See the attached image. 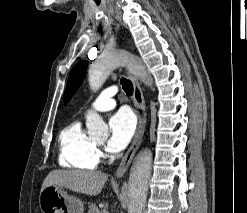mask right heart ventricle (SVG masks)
<instances>
[{"mask_svg":"<svg viewBox=\"0 0 247 213\" xmlns=\"http://www.w3.org/2000/svg\"><path fill=\"white\" fill-rule=\"evenodd\" d=\"M58 162L71 169L94 170L98 165L95 143L87 136L81 122L73 121L59 134Z\"/></svg>","mask_w":247,"mask_h":213,"instance_id":"1","label":"right heart ventricle"}]
</instances>
